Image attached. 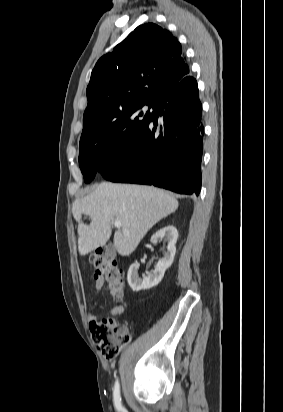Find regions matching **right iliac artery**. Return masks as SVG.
<instances>
[{"mask_svg":"<svg viewBox=\"0 0 283 412\" xmlns=\"http://www.w3.org/2000/svg\"><path fill=\"white\" fill-rule=\"evenodd\" d=\"M113 398H114V404L117 410H122V404H121V396H120V385L118 379L116 380L115 386H114V391H113Z\"/></svg>","mask_w":283,"mask_h":412,"instance_id":"82829eb1","label":"right iliac artery"}]
</instances>
